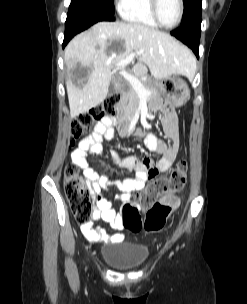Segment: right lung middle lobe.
<instances>
[{
	"label": "right lung middle lobe",
	"instance_id": "1",
	"mask_svg": "<svg viewBox=\"0 0 247 304\" xmlns=\"http://www.w3.org/2000/svg\"><path fill=\"white\" fill-rule=\"evenodd\" d=\"M114 0H71L69 9L114 14Z\"/></svg>",
	"mask_w": 247,
	"mask_h": 304
}]
</instances>
